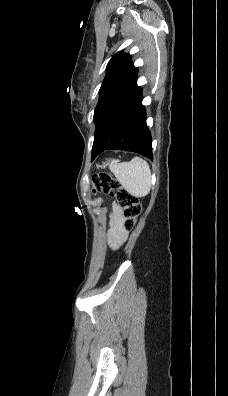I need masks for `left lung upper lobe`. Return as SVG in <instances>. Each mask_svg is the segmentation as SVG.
<instances>
[{"label": "left lung upper lobe", "mask_w": 228, "mask_h": 396, "mask_svg": "<svg viewBox=\"0 0 228 396\" xmlns=\"http://www.w3.org/2000/svg\"><path fill=\"white\" fill-rule=\"evenodd\" d=\"M137 68L131 62V56L122 51L117 52L107 65V73L99 91V101L94 111L97 131L105 111L112 103L129 89L137 79ZM97 151L94 140L92 156Z\"/></svg>", "instance_id": "left-lung-upper-lobe-1"}]
</instances>
